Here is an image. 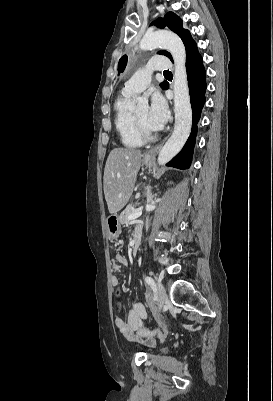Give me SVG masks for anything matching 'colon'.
<instances>
[{"label":"colon","instance_id":"1","mask_svg":"<svg viewBox=\"0 0 273 401\" xmlns=\"http://www.w3.org/2000/svg\"><path fill=\"white\" fill-rule=\"evenodd\" d=\"M121 295H122V292H121L120 290H118V291L116 292L117 298H120ZM117 309H118L119 311H121V310L123 309V306H122V303H121V302H118V303H117Z\"/></svg>","mask_w":273,"mask_h":401}]
</instances>
